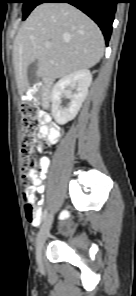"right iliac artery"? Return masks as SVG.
<instances>
[{
  "mask_svg": "<svg viewBox=\"0 0 136 296\" xmlns=\"http://www.w3.org/2000/svg\"><path fill=\"white\" fill-rule=\"evenodd\" d=\"M48 211H43V219L42 222L44 223L47 220Z\"/></svg>",
  "mask_w": 136,
  "mask_h": 296,
  "instance_id": "1",
  "label": "right iliac artery"
}]
</instances>
